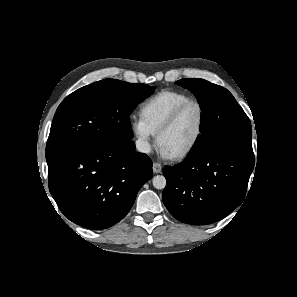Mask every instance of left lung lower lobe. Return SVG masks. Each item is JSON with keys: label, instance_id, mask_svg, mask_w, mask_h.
<instances>
[{"label": "left lung lower lobe", "instance_id": "0a47b994", "mask_svg": "<svg viewBox=\"0 0 297 297\" xmlns=\"http://www.w3.org/2000/svg\"><path fill=\"white\" fill-rule=\"evenodd\" d=\"M254 156L215 149L188 156L164 167L167 185L162 199L179 221L192 225L214 223L239 206L245 197Z\"/></svg>", "mask_w": 297, "mask_h": 297}]
</instances>
